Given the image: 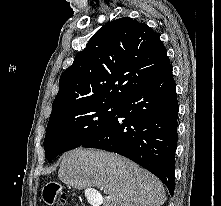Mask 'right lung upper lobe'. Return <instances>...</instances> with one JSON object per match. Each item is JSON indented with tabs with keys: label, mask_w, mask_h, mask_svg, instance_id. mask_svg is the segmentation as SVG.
<instances>
[{
	"label": "right lung upper lobe",
	"mask_w": 221,
	"mask_h": 206,
	"mask_svg": "<svg viewBox=\"0 0 221 206\" xmlns=\"http://www.w3.org/2000/svg\"><path fill=\"white\" fill-rule=\"evenodd\" d=\"M170 64L159 36L124 17L105 24L59 80L52 113L92 103L120 104Z\"/></svg>",
	"instance_id": "right-lung-upper-lobe-1"
}]
</instances>
